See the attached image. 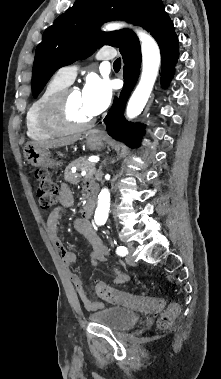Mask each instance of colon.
<instances>
[{"label": "colon", "instance_id": "5ec220e1", "mask_svg": "<svg viewBox=\"0 0 221 379\" xmlns=\"http://www.w3.org/2000/svg\"><path fill=\"white\" fill-rule=\"evenodd\" d=\"M35 174L38 183L37 196L40 208L44 211H49L58 201L57 185L47 170L40 168L36 170ZM96 292L106 302L121 304L147 313L161 312L157 321L158 328L161 330L169 329L179 313L177 304H171L164 309V300L148 293L132 295L114 290L104 282L96 283Z\"/></svg>", "mask_w": 221, "mask_h": 379}]
</instances>
